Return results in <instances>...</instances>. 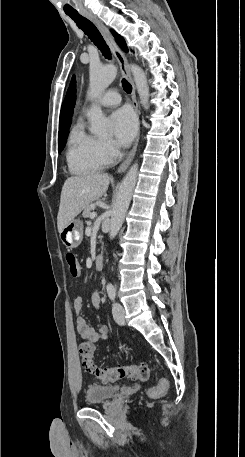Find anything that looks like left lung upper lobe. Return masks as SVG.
<instances>
[{"mask_svg":"<svg viewBox=\"0 0 245 457\" xmlns=\"http://www.w3.org/2000/svg\"><path fill=\"white\" fill-rule=\"evenodd\" d=\"M111 32L113 33L118 44L127 52L128 48L126 46L125 40L120 35H118L116 32H114V31H111Z\"/></svg>","mask_w":245,"mask_h":457,"instance_id":"obj_1","label":"left lung upper lobe"}]
</instances>
